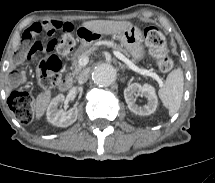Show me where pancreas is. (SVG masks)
Masks as SVG:
<instances>
[{
  "label": "pancreas",
  "mask_w": 215,
  "mask_h": 183,
  "mask_svg": "<svg viewBox=\"0 0 215 183\" xmlns=\"http://www.w3.org/2000/svg\"><path fill=\"white\" fill-rule=\"evenodd\" d=\"M110 47H112L113 49H115L116 51H119V52H122L126 55H128L127 51L124 50L121 46L119 45H116L114 43L110 44L109 45ZM96 49L95 46H92L90 48H88L87 50L75 55V57L73 58L72 60V66H71V70H72V73L69 74V76L73 77V78H76L78 76V74L81 72V70L83 69V67L79 64V60L82 58V57H85V56H90L94 50Z\"/></svg>",
  "instance_id": "pancreas-1"
}]
</instances>
